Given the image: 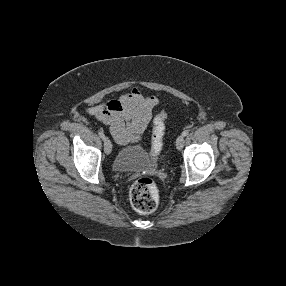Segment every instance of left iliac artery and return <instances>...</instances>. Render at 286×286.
<instances>
[{"instance_id": "obj_1", "label": "left iliac artery", "mask_w": 286, "mask_h": 286, "mask_svg": "<svg viewBox=\"0 0 286 286\" xmlns=\"http://www.w3.org/2000/svg\"><path fill=\"white\" fill-rule=\"evenodd\" d=\"M188 134H189V131H188V130L182 132V135H183L184 137L187 136Z\"/></svg>"}]
</instances>
